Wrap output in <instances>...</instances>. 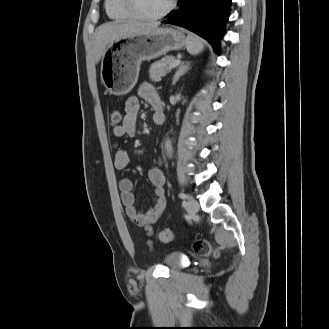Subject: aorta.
I'll return each instance as SVG.
<instances>
[{"instance_id": "1", "label": "aorta", "mask_w": 329, "mask_h": 329, "mask_svg": "<svg viewBox=\"0 0 329 329\" xmlns=\"http://www.w3.org/2000/svg\"><path fill=\"white\" fill-rule=\"evenodd\" d=\"M165 150L169 157L172 156V145L169 139L165 140Z\"/></svg>"}]
</instances>
